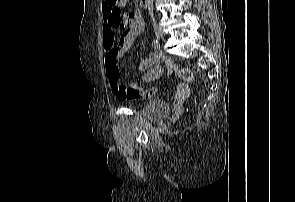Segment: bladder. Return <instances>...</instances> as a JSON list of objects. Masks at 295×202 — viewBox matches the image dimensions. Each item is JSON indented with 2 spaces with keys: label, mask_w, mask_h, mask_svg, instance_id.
I'll return each mask as SVG.
<instances>
[{
  "label": "bladder",
  "mask_w": 295,
  "mask_h": 202,
  "mask_svg": "<svg viewBox=\"0 0 295 202\" xmlns=\"http://www.w3.org/2000/svg\"><path fill=\"white\" fill-rule=\"evenodd\" d=\"M140 113L145 119L155 121L168 115L169 106L163 100L153 99L141 108Z\"/></svg>",
  "instance_id": "1"
}]
</instances>
